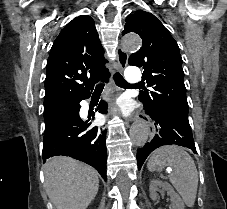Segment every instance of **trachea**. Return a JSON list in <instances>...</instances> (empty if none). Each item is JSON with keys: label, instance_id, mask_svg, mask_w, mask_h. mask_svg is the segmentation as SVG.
Here are the masks:
<instances>
[{"label": "trachea", "instance_id": "1", "mask_svg": "<svg viewBox=\"0 0 227 209\" xmlns=\"http://www.w3.org/2000/svg\"><path fill=\"white\" fill-rule=\"evenodd\" d=\"M113 79L115 80L116 85L124 89L132 86H139L138 84H129L119 73H115L113 76ZM103 88H104V83H100L99 85L96 86L95 92H99V91L101 92Z\"/></svg>", "mask_w": 227, "mask_h": 209}]
</instances>
